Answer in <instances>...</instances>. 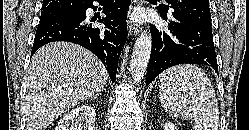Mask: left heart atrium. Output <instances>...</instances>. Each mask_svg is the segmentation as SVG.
I'll return each mask as SVG.
<instances>
[{
    "label": "left heart atrium",
    "mask_w": 249,
    "mask_h": 130,
    "mask_svg": "<svg viewBox=\"0 0 249 130\" xmlns=\"http://www.w3.org/2000/svg\"><path fill=\"white\" fill-rule=\"evenodd\" d=\"M137 20H139V16H137Z\"/></svg>",
    "instance_id": "39dd6f15"
}]
</instances>
